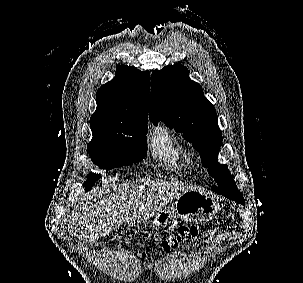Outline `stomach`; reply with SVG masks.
<instances>
[{
    "label": "stomach",
    "instance_id": "stomach-1",
    "mask_svg": "<svg viewBox=\"0 0 303 283\" xmlns=\"http://www.w3.org/2000/svg\"><path fill=\"white\" fill-rule=\"evenodd\" d=\"M217 211L216 201L202 192L189 190L176 198L172 206L164 207L146 225L156 231L165 228L176 218L190 222H205L211 220Z\"/></svg>",
    "mask_w": 303,
    "mask_h": 283
}]
</instances>
